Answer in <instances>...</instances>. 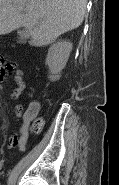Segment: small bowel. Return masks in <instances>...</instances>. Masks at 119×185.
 <instances>
[{
  "mask_svg": "<svg viewBox=\"0 0 119 185\" xmlns=\"http://www.w3.org/2000/svg\"><path fill=\"white\" fill-rule=\"evenodd\" d=\"M15 71L14 82L15 86L10 94L11 99L17 100L23 93L25 89L24 82V71L17 67L14 63H4L1 62L0 66V81H4L8 72L11 70ZM39 106L37 103H33L23 114V108L21 105H16L14 108V116L17 120L22 119V125L9 139V147H18L20 150H24L28 136H29V126L31 117L37 116Z\"/></svg>",
  "mask_w": 119,
  "mask_h": 185,
  "instance_id": "small-bowel-1",
  "label": "small bowel"
}]
</instances>
